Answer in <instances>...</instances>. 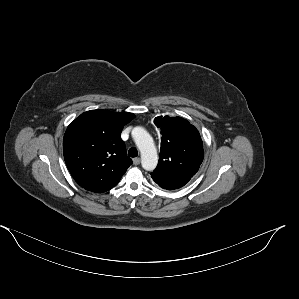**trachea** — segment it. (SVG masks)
<instances>
[{
	"instance_id": "1",
	"label": "trachea",
	"mask_w": 299,
	"mask_h": 299,
	"mask_svg": "<svg viewBox=\"0 0 299 299\" xmlns=\"http://www.w3.org/2000/svg\"><path fill=\"white\" fill-rule=\"evenodd\" d=\"M128 155H129L130 157H137V156H138V151H137V149L134 148V147L130 148L129 151H128Z\"/></svg>"
}]
</instances>
